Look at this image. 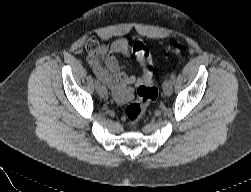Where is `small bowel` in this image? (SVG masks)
Masks as SVG:
<instances>
[{
	"instance_id": "small-bowel-1",
	"label": "small bowel",
	"mask_w": 251,
	"mask_h": 192,
	"mask_svg": "<svg viewBox=\"0 0 251 192\" xmlns=\"http://www.w3.org/2000/svg\"><path fill=\"white\" fill-rule=\"evenodd\" d=\"M88 63L96 77L105 82L119 103H126L133 97L131 85L141 84L153 71L152 61L147 47L137 41L130 47L125 39H118L110 46L91 38L85 46ZM118 57H134L143 68V75L137 77L127 74Z\"/></svg>"
}]
</instances>
